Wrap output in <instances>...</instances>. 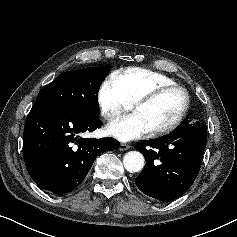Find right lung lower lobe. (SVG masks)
<instances>
[{
    "instance_id": "1",
    "label": "right lung lower lobe",
    "mask_w": 237,
    "mask_h": 237,
    "mask_svg": "<svg viewBox=\"0 0 237 237\" xmlns=\"http://www.w3.org/2000/svg\"><path fill=\"white\" fill-rule=\"evenodd\" d=\"M101 125L99 118L34 104L23 133V157L34 182L54 194L67 193L80 185L96 157L120 145L113 138L80 137Z\"/></svg>"
}]
</instances>
